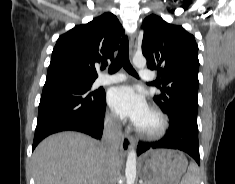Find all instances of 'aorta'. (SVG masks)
<instances>
[{
  "label": "aorta",
  "mask_w": 235,
  "mask_h": 184,
  "mask_svg": "<svg viewBox=\"0 0 235 184\" xmlns=\"http://www.w3.org/2000/svg\"><path fill=\"white\" fill-rule=\"evenodd\" d=\"M132 62L136 68H145L146 66L144 56H134ZM125 176L126 184H134L136 178V152L133 148H130V152H128Z\"/></svg>",
  "instance_id": "1"
}]
</instances>
